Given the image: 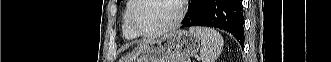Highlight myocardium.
I'll use <instances>...</instances> for the list:
<instances>
[{
    "label": "myocardium",
    "mask_w": 331,
    "mask_h": 62,
    "mask_svg": "<svg viewBox=\"0 0 331 62\" xmlns=\"http://www.w3.org/2000/svg\"><path fill=\"white\" fill-rule=\"evenodd\" d=\"M142 1H144V0H134L133 6L129 13L130 27L134 31V33L137 34L138 36L152 37V36H157V35L166 33L170 30L175 29L177 26H179V24L181 23V21L184 17V13H185L184 1L183 0H174L178 6V15L174 21H172L171 23H169L166 26H163V27L155 29V30H143L137 25L136 20H135V13H136L137 9L139 8V6L141 5Z\"/></svg>",
    "instance_id": "f54148a6"
}]
</instances>
